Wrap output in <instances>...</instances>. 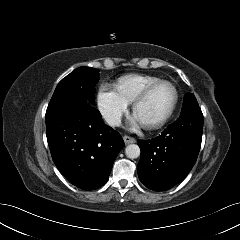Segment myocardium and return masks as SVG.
Masks as SVG:
<instances>
[{
    "instance_id": "f54148a6",
    "label": "myocardium",
    "mask_w": 240,
    "mask_h": 240,
    "mask_svg": "<svg viewBox=\"0 0 240 240\" xmlns=\"http://www.w3.org/2000/svg\"><path fill=\"white\" fill-rule=\"evenodd\" d=\"M162 86H169L173 89L174 98H173L172 104H171L170 108L167 110V112L162 117H160L158 120H156L154 122H150V123L141 121V123L146 128H149V129L159 128V127L163 126L170 119V117L174 113V111L177 107L178 101H179V91H178L177 87L172 82L162 80V81H159L157 83H154V84L148 86L132 102L133 113L135 116H137L138 107L151 95L152 92H154L156 89H158L159 87H162Z\"/></svg>"
}]
</instances>
